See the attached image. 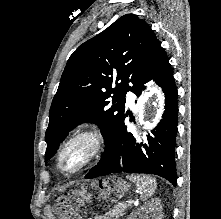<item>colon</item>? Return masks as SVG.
<instances>
[{"mask_svg": "<svg viewBox=\"0 0 221 219\" xmlns=\"http://www.w3.org/2000/svg\"><path fill=\"white\" fill-rule=\"evenodd\" d=\"M60 210L65 214L67 219H79L75 212L76 203L71 202L69 199L63 200Z\"/></svg>", "mask_w": 221, "mask_h": 219, "instance_id": "obj_1", "label": "colon"}]
</instances>
